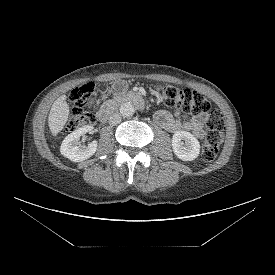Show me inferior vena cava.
<instances>
[{
  "label": "inferior vena cava",
  "mask_w": 275,
  "mask_h": 275,
  "mask_svg": "<svg viewBox=\"0 0 275 275\" xmlns=\"http://www.w3.org/2000/svg\"><path fill=\"white\" fill-rule=\"evenodd\" d=\"M121 115H120V113H118V112H114L113 114H111L110 115V117H109V124L110 125H117V124H119L120 122H121Z\"/></svg>",
  "instance_id": "602c4592"
}]
</instances>
